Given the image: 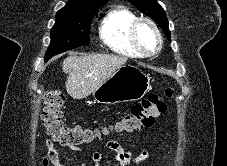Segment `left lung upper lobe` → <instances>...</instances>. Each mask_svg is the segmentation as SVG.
Wrapping results in <instances>:
<instances>
[{
    "label": "left lung upper lobe",
    "instance_id": "left-lung-upper-lobe-1",
    "mask_svg": "<svg viewBox=\"0 0 227 166\" xmlns=\"http://www.w3.org/2000/svg\"><path fill=\"white\" fill-rule=\"evenodd\" d=\"M136 6L142 13L146 14L162 28L168 40H170V31L168 28V20L164 9L156 0H128Z\"/></svg>",
    "mask_w": 227,
    "mask_h": 166
}]
</instances>
